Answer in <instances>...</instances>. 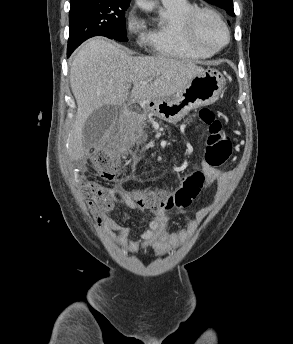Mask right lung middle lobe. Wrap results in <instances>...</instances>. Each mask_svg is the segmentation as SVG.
I'll return each instance as SVG.
<instances>
[{"instance_id":"right-lung-middle-lobe-1","label":"right lung middle lobe","mask_w":293,"mask_h":344,"mask_svg":"<svg viewBox=\"0 0 293 344\" xmlns=\"http://www.w3.org/2000/svg\"><path fill=\"white\" fill-rule=\"evenodd\" d=\"M67 55L93 36L126 42L125 10L129 2L83 0L70 4Z\"/></svg>"}]
</instances>
